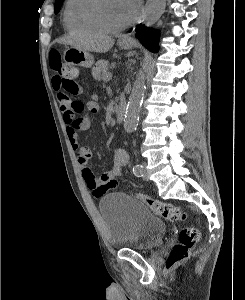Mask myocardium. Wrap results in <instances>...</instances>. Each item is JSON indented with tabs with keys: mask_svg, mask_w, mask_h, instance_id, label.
Wrapping results in <instances>:
<instances>
[{
	"mask_svg": "<svg viewBox=\"0 0 245 300\" xmlns=\"http://www.w3.org/2000/svg\"><path fill=\"white\" fill-rule=\"evenodd\" d=\"M101 3H102V0H92V4L90 6L91 21L100 32L117 33V32L122 31L126 27H128L134 21L135 15L132 16L131 18H129L125 23H123L119 26H116V27L107 26L101 18V13H100Z\"/></svg>",
	"mask_w": 245,
	"mask_h": 300,
	"instance_id": "f54148a6",
	"label": "myocardium"
}]
</instances>
